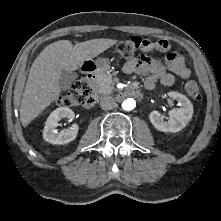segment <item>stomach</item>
<instances>
[{
    "label": "stomach",
    "mask_w": 221,
    "mask_h": 221,
    "mask_svg": "<svg viewBox=\"0 0 221 221\" xmlns=\"http://www.w3.org/2000/svg\"><path fill=\"white\" fill-rule=\"evenodd\" d=\"M96 66L100 71H106L109 68V63L107 59H98L96 61Z\"/></svg>",
    "instance_id": "obj_1"
}]
</instances>
